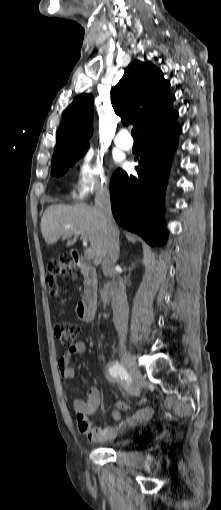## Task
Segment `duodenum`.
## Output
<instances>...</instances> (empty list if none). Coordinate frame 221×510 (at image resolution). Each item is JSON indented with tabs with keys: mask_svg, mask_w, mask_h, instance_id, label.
I'll return each mask as SVG.
<instances>
[{
	"mask_svg": "<svg viewBox=\"0 0 221 510\" xmlns=\"http://www.w3.org/2000/svg\"><path fill=\"white\" fill-rule=\"evenodd\" d=\"M73 262L78 267L84 278L83 296L77 305L79 317L86 323H90L95 318L97 300H98V277L94 268L80 262L76 252L72 254Z\"/></svg>",
	"mask_w": 221,
	"mask_h": 510,
	"instance_id": "obj_1",
	"label": "duodenum"
}]
</instances>
